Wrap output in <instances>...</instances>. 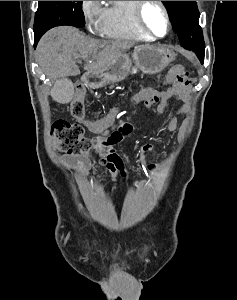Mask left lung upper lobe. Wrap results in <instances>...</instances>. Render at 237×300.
<instances>
[{"instance_id": "left-lung-upper-lobe-1", "label": "left lung upper lobe", "mask_w": 237, "mask_h": 300, "mask_svg": "<svg viewBox=\"0 0 237 300\" xmlns=\"http://www.w3.org/2000/svg\"><path fill=\"white\" fill-rule=\"evenodd\" d=\"M170 15L174 31L185 49L196 53L200 61L204 60L205 44L202 29L199 26V11L196 1H162Z\"/></svg>"}]
</instances>
